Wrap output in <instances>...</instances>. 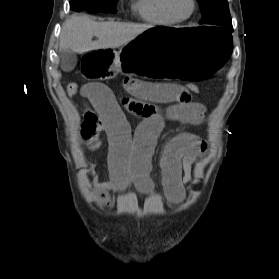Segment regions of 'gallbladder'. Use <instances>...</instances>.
<instances>
[{
	"label": "gallbladder",
	"instance_id": "bac80fb5",
	"mask_svg": "<svg viewBox=\"0 0 279 279\" xmlns=\"http://www.w3.org/2000/svg\"><path fill=\"white\" fill-rule=\"evenodd\" d=\"M60 61L62 70L65 72L72 71L77 64V56L75 52L71 50H65L60 52Z\"/></svg>",
	"mask_w": 279,
	"mask_h": 279
}]
</instances>
